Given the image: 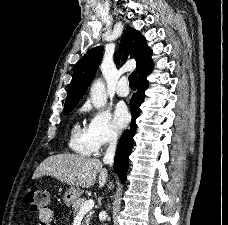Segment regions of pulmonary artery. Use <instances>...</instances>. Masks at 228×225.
Here are the masks:
<instances>
[{
    "label": "pulmonary artery",
    "mask_w": 228,
    "mask_h": 225,
    "mask_svg": "<svg viewBox=\"0 0 228 225\" xmlns=\"http://www.w3.org/2000/svg\"><path fill=\"white\" fill-rule=\"evenodd\" d=\"M116 93L120 97H126V96H128V94H129V87H128V84H127L126 79H122L118 83L117 88H116Z\"/></svg>",
    "instance_id": "e3ab8cb5"
}]
</instances>
